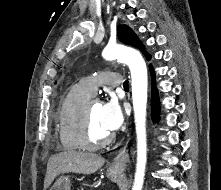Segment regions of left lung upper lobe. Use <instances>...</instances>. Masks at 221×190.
<instances>
[{
	"instance_id": "1",
	"label": "left lung upper lobe",
	"mask_w": 221,
	"mask_h": 190,
	"mask_svg": "<svg viewBox=\"0 0 221 190\" xmlns=\"http://www.w3.org/2000/svg\"><path fill=\"white\" fill-rule=\"evenodd\" d=\"M119 39L122 43L127 45H132L138 47L148 60H150V55L145 51L143 44L139 41L137 35L126 25H122L119 28Z\"/></svg>"
}]
</instances>
